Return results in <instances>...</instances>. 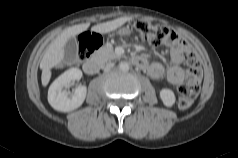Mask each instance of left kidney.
<instances>
[{
    "mask_svg": "<svg viewBox=\"0 0 238 158\" xmlns=\"http://www.w3.org/2000/svg\"><path fill=\"white\" fill-rule=\"evenodd\" d=\"M160 98L163 104L167 107H172L176 100L174 92L167 88H164L160 91Z\"/></svg>",
    "mask_w": 238,
    "mask_h": 158,
    "instance_id": "left-kidney-1",
    "label": "left kidney"
}]
</instances>
